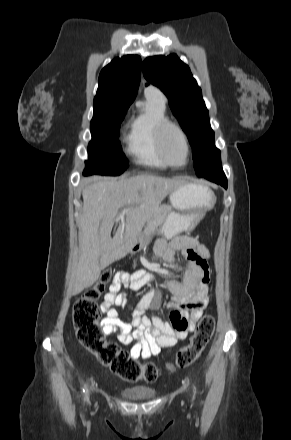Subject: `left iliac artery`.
Segmentation results:
<instances>
[{"label":"left iliac artery","mask_w":291,"mask_h":440,"mask_svg":"<svg viewBox=\"0 0 291 440\" xmlns=\"http://www.w3.org/2000/svg\"><path fill=\"white\" fill-rule=\"evenodd\" d=\"M196 392V389H195V387H194V393Z\"/></svg>","instance_id":"left-iliac-artery-1"}]
</instances>
